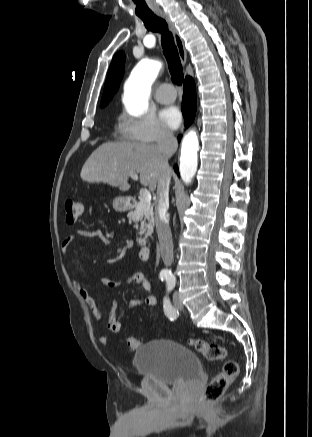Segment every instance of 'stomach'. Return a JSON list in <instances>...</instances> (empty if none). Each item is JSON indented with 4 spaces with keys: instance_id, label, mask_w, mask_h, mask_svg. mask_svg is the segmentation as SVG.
I'll return each mask as SVG.
<instances>
[{
    "instance_id": "stomach-1",
    "label": "stomach",
    "mask_w": 312,
    "mask_h": 437,
    "mask_svg": "<svg viewBox=\"0 0 312 437\" xmlns=\"http://www.w3.org/2000/svg\"><path fill=\"white\" fill-rule=\"evenodd\" d=\"M129 205V200L126 197H117L113 200V208L118 212L128 210Z\"/></svg>"
}]
</instances>
